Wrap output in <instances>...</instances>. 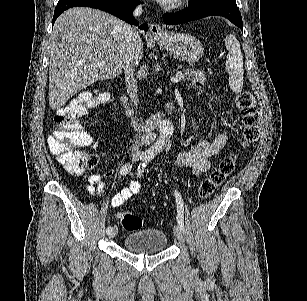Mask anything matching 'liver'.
<instances>
[{
  "instance_id": "1",
  "label": "liver",
  "mask_w": 307,
  "mask_h": 301,
  "mask_svg": "<svg viewBox=\"0 0 307 301\" xmlns=\"http://www.w3.org/2000/svg\"><path fill=\"white\" fill-rule=\"evenodd\" d=\"M128 26L120 18L88 6H74L58 16L50 36L48 70L53 110L93 82L121 74ZM132 46L135 64H139L144 52L139 34Z\"/></svg>"
}]
</instances>
